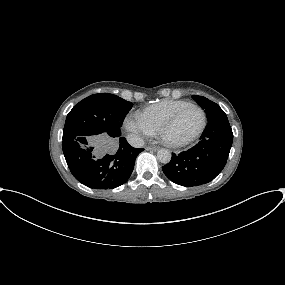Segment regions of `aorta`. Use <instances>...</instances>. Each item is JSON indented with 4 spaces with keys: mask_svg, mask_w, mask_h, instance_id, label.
<instances>
[{
    "mask_svg": "<svg viewBox=\"0 0 285 285\" xmlns=\"http://www.w3.org/2000/svg\"><path fill=\"white\" fill-rule=\"evenodd\" d=\"M157 158L161 163L167 164L171 160V153L168 149L161 148L157 152Z\"/></svg>",
    "mask_w": 285,
    "mask_h": 285,
    "instance_id": "aorta-1",
    "label": "aorta"
}]
</instances>
